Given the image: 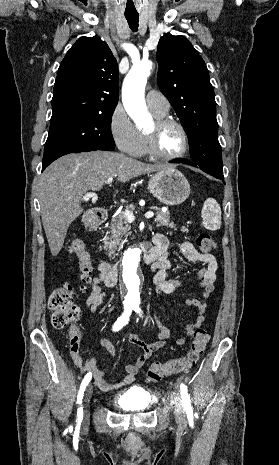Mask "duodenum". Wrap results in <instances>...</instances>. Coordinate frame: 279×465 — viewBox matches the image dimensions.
Instances as JSON below:
<instances>
[{"mask_svg":"<svg viewBox=\"0 0 279 465\" xmlns=\"http://www.w3.org/2000/svg\"><path fill=\"white\" fill-rule=\"evenodd\" d=\"M108 219V213L104 210H98L90 213L85 218V224L88 227H97L100 224L104 223ZM143 253H144V261L147 264L153 263L159 253L158 250L155 248L154 245L151 243H144L142 245ZM105 283L109 287H113L117 283V268L115 265H110L106 272L105 276Z\"/></svg>","mask_w":279,"mask_h":465,"instance_id":"duodenum-1","label":"duodenum"}]
</instances>
